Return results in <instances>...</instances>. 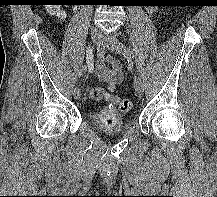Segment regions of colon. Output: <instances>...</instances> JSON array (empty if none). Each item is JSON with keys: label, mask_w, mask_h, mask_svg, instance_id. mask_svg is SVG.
I'll list each match as a JSON object with an SVG mask.
<instances>
[{"label": "colon", "mask_w": 217, "mask_h": 197, "mask_svg": "<svg viewBox=\"0 0 217 197\" xmlns=\"http://www.w3.org/2000/svg\"><path fill=\"white\" fill-rule=\"evenodd\" d=\"M46 2H54V1L48 0ZM47 7L50 14L54 15L58 19L64 18V13L57 4H47ZM106 97L109 100H111L113 103H115L121 112H129L132 108V103L128 99H122L109 94H107Z\"/></svg>", "instance_id": "colon-1"}]
</instances>
